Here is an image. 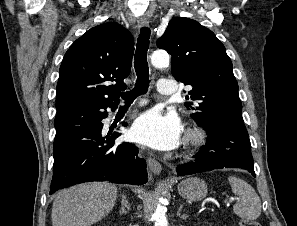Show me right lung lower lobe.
Wrapping results in <instances>:
<instances>
[{"label":"right lung lower lobe","mask_w":297,"mask_h":226,"mask_svg":"<svg viewBox=\"0 0 297 226\" xmlns=\"http://www.w3.org/2000/svg\"><path fill=\"white\" fill-rule=\"evenodd\" d=\"M107 107L115 109L117 104L84 103L57 111L50 194L90 181L133 185L148 181L146 162L137 157V148L126 142L114 145L119 132L102 133Z\"/></svg>","instance_id":"obj_1"}]
</instances>
